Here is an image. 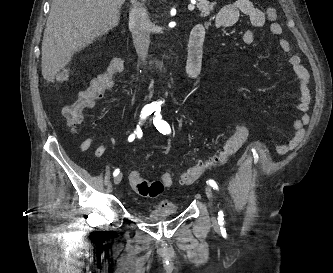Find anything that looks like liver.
Returning <instances> with one entry per match:
<instances>
[{
	"label": "liver",
	"instance_id": "obj_1",
	"mask_svg": "<svg viewBox=\"0 0 333 273\" xmlns=\"http://www.w3.org/2000/svg\"><path fill=\"white\" fill-rule=\"evenodd\" d=\"M125 0H52L42 41L41 67L47 82L66 81L72 56L120 21Z\"/></svg>",
	"mask_w": 333,
	"mask_h": 273
}]
</instances>
